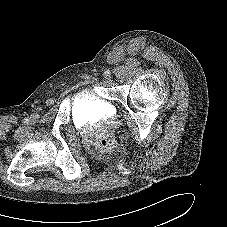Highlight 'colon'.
Here are the masks:
<instances>
[{
    "label": "colon",
    "mask_w": 227,
    "mask_h": 227,
    "mask_svg": "<svg viewBox=\"0 0 227 227\" xmlns=\"http://www.w3.org/2000/svg\"><path fill=\"white\" fill-rule=\"evenodd\" d=\"M121 143V139L110 134H103L98 138L97 148L101 151L108 152L116 148Z\"/></svg>",
    "instance_id": "obj_1"
}]
</instances>
